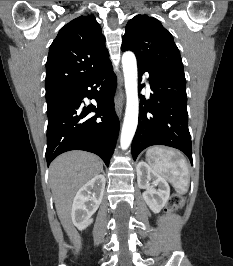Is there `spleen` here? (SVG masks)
<instances>
[{
    "label": "spleen",
    "instance_id": "spleen-1",
    "mask_svg": "<svg viewBox=\"0 0 233 266\" xmlns=\"http://www.w3.org/2000/svg\"><path fill=\"white\" fill-rule=\"evenodd\" d=\"M146 160L156 173L173 185L177 193L185 194L188 191V163L179 152L156 146L147 150Z\"/></svg>",
    "mask_w": 233,
    "mask_h": 266
}]
</instances>
